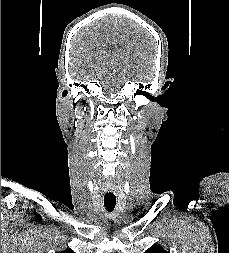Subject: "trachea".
I'll return each mask as SVG.
<instances>
[{"mask_svg": "<svg viewBox=\"0 0 229 253\" xmlns=\"http://www.w3.org/2000/svg\"><path fill=\"white\" fill-rule=\"evenodd\" d=\"M116 205V197L108 196L104 197V206L108 212H112Z\"/></svg>", "mask_w": 229, "mask_h": 253, "instance_id": "trachea-1", "label": "trachea"}]
</instances>
